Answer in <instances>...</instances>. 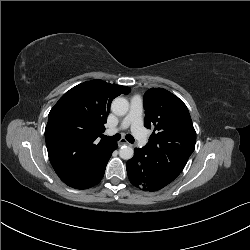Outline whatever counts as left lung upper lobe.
<instances>
[{"label": "left lung upper lobe", "mask_w": 250, "mask_h": 250, "mask_svg": "<svg viewBox=\"0 0 250 250\" xmlns=\"http://www.w3.org/2000/svg\"><path fill=\"white\" fill-rule=\"evenodd\" d=\"M144 109V126L154 127L146 147L154 157H165L183 168L196 143L186 105L165 89L151 88L144 95Z\"/></svg>", "instance_id": "obj_1"}]
</instances>
